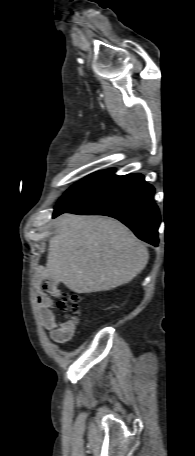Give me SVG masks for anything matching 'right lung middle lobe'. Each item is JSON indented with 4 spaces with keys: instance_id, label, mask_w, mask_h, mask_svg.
I'll return each mask as SVG.
<instances>
[{
    "instance_id": "obj_1",
    "label": "right lung middle lobe",
    "mask_w": 195,
    "mask_h": 456,
    "mask_svg": "<svg viewBox=\"0 0 195 456\" xmlns=\"http://www.w3.org/2000/svg\"><path fill=\"white\" fill-rule=\"evenodd\" d=\"M116 177L117 176L113 173V170H102L75 183L60 198L57 206L55 207L54 214L69 210L86 201L105 188Z\"/></svg>"
}]
</instances>
